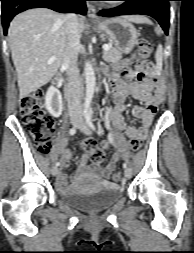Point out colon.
<instances>
[{"instance_id": "5ec220e1", "label": "colon", "mask_w": 194, "mask_h": 253, "mask_svg": "<svg viewBox=\"0 0 194 253\" xmlns=\"http://www.w3.org/2000/svg\"><path fill=\"white\" fill-rule=\"evenodd\" d=\"M151 53L150 42L142 38L137 42L136 51L133 53L131 60L140 69L142 61H136V56H149ZM20 115L23 124L29 130L35 146L39 153L46 155L50 152L53 142L55 122L53 118L46 113L43 107V92L37 90L26 95L20 103ZM97 137H87L82 143L83 149L89 152L92 163H101L104 159V153L97 148ZM142 146V140L132 138L130 148L132 151H138ZM112 180L119 182L121 180L120 171L112 174Z\"/></svg>"}]
</instances>
